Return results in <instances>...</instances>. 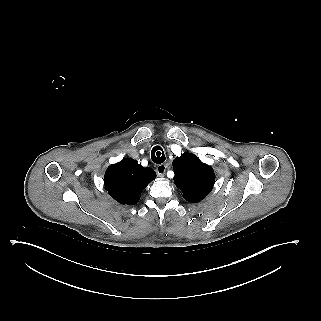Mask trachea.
Wrapping results in <instances>:
<instances>
[{"mask_svg": "<svg viewBox=\"0 0 321 321\" xmlns=\"http://www.w3.org/2000/svg\"><path fill=\"white\" fill-rule=\"evenodd\" d=\"M151 159L156 164H161L165 161V155L161 147L155 146L151 151Z\"/></svg>", "mask_w": 321, "mask_h": 321, "instance_id": "obj_1", "label": "trachea"}]
</instances>
